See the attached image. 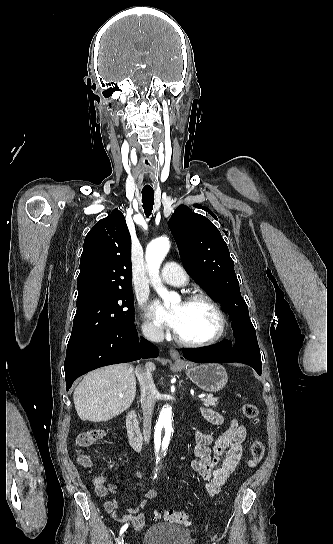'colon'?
<instances>
[{"instance_id": "obj_1", "label": "colon", "mask_w": 333, "mask_h": 544, "mask_svg": "<svg viewBox=\"0 0 333 544\" xmlns=\"http://www.w3.org/2000/svg\"><path fill=\"white\" fill-rule=\"evenodd\" d=\"M243 414L250 420H258L259 410L256 405L246 403L242 407ZM105 436V431L102 429H93L82 432L77 437V446L80 450H83L97 441L101 440ZM265 452V447L260 440H255L250 446L249 458L246 461V469H254L262 461ZM78 462L84 467H90L92 461L89 456L80 452L78 455ZM164 519L169 522H173L181 525H188L190 523L189 514L178 510L159 511L156 510L152 513L151 519Z\"/></svg>"}]
</instances>
